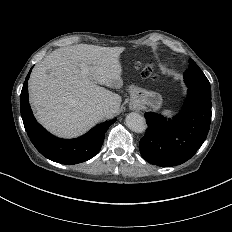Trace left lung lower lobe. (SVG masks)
<instances>
[{
    "label": "left lung lower lobe",
    "instance_id": "obj_1",
    "mask_svg": "<svg viewBox=\"0 0 232 232\" xmlns=\"http://www.w3.org/2000/svg\"><path fill=\"white\" fill-rule=\"evenodd\" d=\"M148 128L140 140L142 157L149 163L171 167L189 160L205 141L211 122V99L192 90L173 119L144 114Z\"/></svg>",
    "mask_w": 232,
    "mask_h": 232
}]
</instances>
